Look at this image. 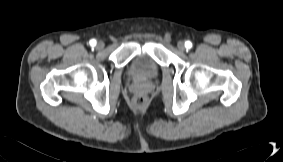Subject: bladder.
Returning <instances> with one entry per match:
<instances>
[{
    "label": "bladder",
    "instance_id": "obj_1",
    "mask_svg": "<svg viewBox=\"0 0 283 162\" xmlns=\"http://www.w3.org/2000/svg\"><path fill=\"white\" fill-rule=\"evenodd\" d=\"M127 73L137 80H150L158 75L159 66L150 54L140 53L130 61Z\"/></svg>",
    "mask_w": 283,
    "mask_h": 162
}]
</instances>
